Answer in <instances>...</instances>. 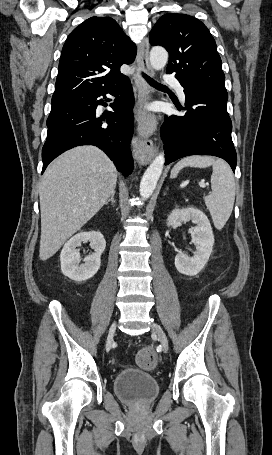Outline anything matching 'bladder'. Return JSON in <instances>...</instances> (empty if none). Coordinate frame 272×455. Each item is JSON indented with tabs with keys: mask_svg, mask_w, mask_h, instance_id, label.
Here are the masks:
<instances>
[{
	"mask_svg": "<svg viewBox=\"0 0 272 455\" xmlns=\"http://www.w3.org/2000/svg\"><path fill=\"white\" fill-rule=\"evenodd\" d=\"M114 392L125 403L146 405L156 399L159 385L149 373L126 369L119 372L113 381Z\"/></svg>",
	"mask_w": 272,
	"mask_h": 455,
	"instance_id": "1",
	"label": "bladder"
}]
</instances>
